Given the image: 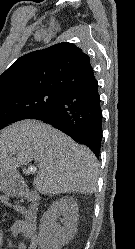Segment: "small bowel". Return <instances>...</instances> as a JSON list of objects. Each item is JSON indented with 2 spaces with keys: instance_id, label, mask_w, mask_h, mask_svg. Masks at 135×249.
<instances>
[{
  "instance_id": "small-bowel-1",
  "label": "small bowel",
  "mask_w": 135,
  "mask_h": 249,
  "mask_svg": "<svg viewBox=\"0 0 135 249\" xmlns=\"http://www.w3.org/2000/svg\"><path fill=\"white\" fill-rule=\"evenodd\" d=\"M0 207L13 210L24 216V219L15 218L11 231L15 236H21L28 239L29 243H20L18 249H36V210L30 207L13 204L5 195H0ZM3 246V230L0 228V249Z\"/></svg>"
}]
</instances>
